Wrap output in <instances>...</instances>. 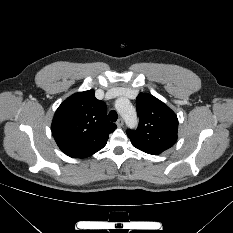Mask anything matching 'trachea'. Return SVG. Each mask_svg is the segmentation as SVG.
<instances>
[{"mask_svg":"<svg viewBox=\"0 0 233 233\" xmlns=\"http://www.w3.org/2000/svg\"><path fill=\"white\" fill-rule=\"evenodd\" d=\"M117 118H118L117 112L115 110H111L109 112V119H110V121L115 122L117 120Z\"/></svg>","mask_w":233,"mask_h":233,"instance_id":"3493384b","label":"trachea"}]
</instances>
